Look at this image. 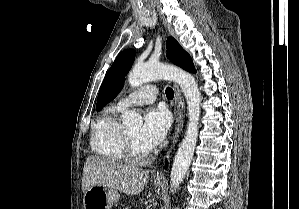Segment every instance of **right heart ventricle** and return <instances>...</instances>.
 I'll use <instances>...</instances> for the list:
<instances>
[{"label": "right heart ventricle", "mask_w": 299, "mask_h": 209, "mask_svg": "<svg viewBox=\"0 0 299 209\" xmlns=\"http://www.w3.org/2000/svg\"><path fill=\"white\" fill-rule=\"evenodd\" d=\"M117 105L109 106L94 122L91 147L98 155L113 161H125L123 151L124 128L118 118L122 111Z\"/></svg>", "instance_id": "e07e8e85"}]
</instances>
